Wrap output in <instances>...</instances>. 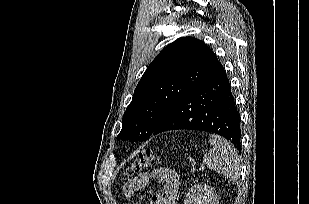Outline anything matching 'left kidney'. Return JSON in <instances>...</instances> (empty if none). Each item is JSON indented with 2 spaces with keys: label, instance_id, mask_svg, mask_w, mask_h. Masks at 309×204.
<instances>
[{
  "label": "left kidney",
  "instance_id": "obj_1",
  "mask_svg": "<svg viewBox=\"0 0 309 204\" xmlns=\"http://www.w3.org/2000/svg\"><path fill=\"white\" fill-rule=\"evenodd\" d=\"M184 204H218V196L211 186L198 183L188 191Z\"/></svg>",
  "mask_w": 309,
  "mask_h": 204
}]
</instances>
